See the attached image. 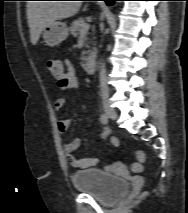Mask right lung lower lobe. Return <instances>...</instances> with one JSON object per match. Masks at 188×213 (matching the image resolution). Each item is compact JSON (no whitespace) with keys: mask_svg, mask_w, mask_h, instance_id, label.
<instances>
[{"mask_svg":"<svg viewBox=\"0 0 188 213\" xmlns=\"http://www.w3.org/2000/svg\"><path fill=\"white\" fill-rule=\"evenodd\" d=\"M103 1H105L108 5H112L114 1H117V0H103Z\"/></svg>","mask_w":188,"mask_h":213,"instance_id":"1","label":"right lung lower lobe"}]
</instances>
